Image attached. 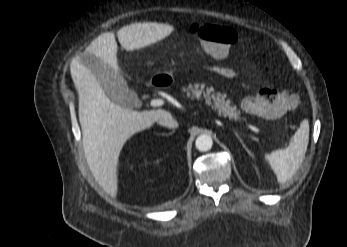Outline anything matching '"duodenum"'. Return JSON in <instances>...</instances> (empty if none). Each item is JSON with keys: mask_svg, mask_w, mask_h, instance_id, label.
I'll use <instances>...</instances> for the list:
<instances>
[{"mask_svg": "<svg viewBox=\"0 0 347 247\" xmlns=\"http://www.w3.org/2000/svg\"><path fill=\"white\" fill-rule=\"evenodd\" d=\"M167 85L163 76H156L152 79V87H165Z\"/></svg>", "mask_w": 347, "mask_h": 247, "instance_id": "1", "label": "duodenum"}]
</instances>
